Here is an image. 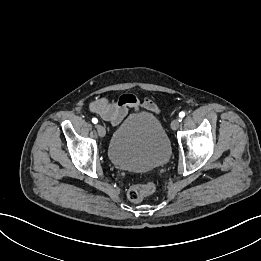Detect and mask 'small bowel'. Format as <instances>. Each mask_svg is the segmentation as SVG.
<instances>
[{
    "label": "small bowel",
    "mask_w": 261,
    "mask_h": 261,
    "mask_svg": "<svg viewBox=\"0 0 261 261\" xmlns=\"http://www.w3.org/2000/svg\"><path fill=\"white\" fill-rule=\"evenodd\" d=\"M141 108L159 113V108L153 101L147 98L140 100L133 94H123L117 100L103 97L92 101L89 105L91 112L98 114L112 126L119 125L130 109L139 111Z\"/></svg>",
    "instance_id": "1"
}]
</instances>
